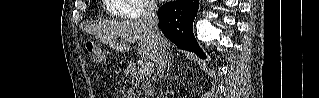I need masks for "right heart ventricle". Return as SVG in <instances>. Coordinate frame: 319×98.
I'll list each match as a JSON object with an SVG mask.
<instances>
[{"label":"right heart ventricle","instance_id":"obj_1","mask_svg":"<svg viewBox=\"0 0 319 98\" xmlns=\"http://www.w3.org/2000/svg\"><path fill=\"white\" fill-rule=\"evenodd\" d=\"M128 6L125 0H108L107 7L108 11L113 15L122 14L124 9Z\"/></svg>","mask_w":319,"mask_h":98}]
</instances>
